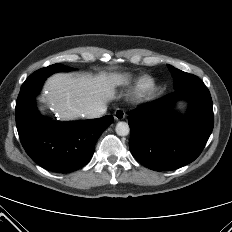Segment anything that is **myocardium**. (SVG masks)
Masks as SVG:
<instances>
[{
  "instance_id": "obj_1",
  "label": "myocardium",
  "mask_w": 232,
  "mask_h": 232,
  "mask_svg": "<svg viewBox=\"0 0 232 232\" xmlns=\"http://www.w3.org/2000/svg\"><path fill=\"white\" fill-rule=\"evenodd\" d=\"M153 88V80L150 77H143L138 81L137 91L140 95H145Z\"/></svg>"
}]
</instances>
